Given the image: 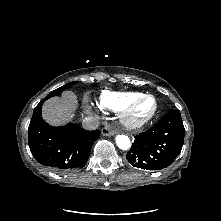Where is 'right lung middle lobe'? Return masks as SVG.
Returning <instances> with one entry per match:
<instances>
[{"mask_svg":"<svg viewBox=\"0 0 221 221\" xmlns=\"http://www.w3.org/2000/svg\"><path fill=\"white\" fill-rule=\"evenodd\" d=\"M76 83H78V82H70V83H68V84H66V85H64V86H62V87H60V88L50 92L46 97L50 98L52 96H56L58 93H61L62 91L70 88L72 85H74Z\"/></svg>","mask_w":221,"mask_h":221,"instance_id":"dd1d6c3e","label":"right lung middle lobe"}]
</instances>
